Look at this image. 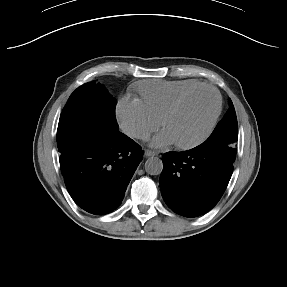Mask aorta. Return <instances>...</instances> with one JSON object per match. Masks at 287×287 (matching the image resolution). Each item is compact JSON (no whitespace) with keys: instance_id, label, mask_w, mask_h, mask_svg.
<instances>
[{"instance_id":"aorta-1","label":"aorta","mask_w":287,"mask_h":287,"mask_svg":"<svg viewBox=\"0 0 287 287\" xmlns=\"http://www.w3.org/2000/svg\"><path fill=\"white\" fill-rule=\"evenodd\" d=\"M163 170L162 160L158 157H150L145 162V171L150 175H159Z\"/></svg>"}]
</instances>
